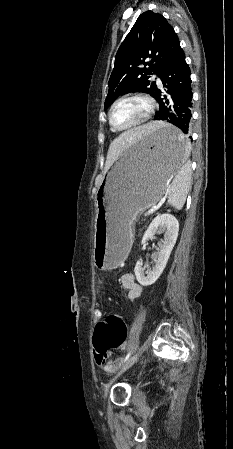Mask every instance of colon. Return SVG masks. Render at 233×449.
<instances>
[{
  "label": "colon",
  "instance_id": "obj_1",
  "mask_svg": "<svg viewBox=\"0 0 233 449\" xmlns=\"http://www.w3.org/2000/svg\"><path fill=\"white\" fill-rule=\"evenodd\" d=\"M127 326L118 314H109L96 326L93 335L95 352L101 355L120 348L127 339Z\"/></svg>",
  "mask_w": 233,
  "mask_h": 449
}]
</instances>
